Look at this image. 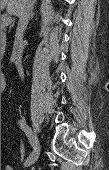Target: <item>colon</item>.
<instances>
[{
    "instance_id": "obj_1",
    "label": "colon",
    "mask_w": 109,
    "mask_h": 170,
    "mask_svg": "<svg viewBox=\"0 0 109 170\" xmlns=\"http://www.w3.org/2000/svg\"><path fill=\"white\" fill-rule=\"evenodd\" d=\"M7 170H12V168L8 167Z\"/></svg>"
}]
</instances>
